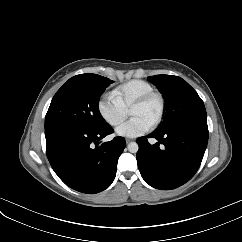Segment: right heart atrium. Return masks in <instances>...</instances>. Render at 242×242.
<instances>
[{
	"mask_svg": "<svg viewBox=\"0 0 242 242\" xmlns=\"http://www.w3.org/2000/svg\"><path fill=\"white\" fill-rule=\"evenodd\" d=\"M98 111L111 126L119 125L128 114L127 109L113 95H105L98 101Z\"/></svg>",
	"mask_w": 242,
	"mask_h": 242,
	"instance_id": "obj_1",
	"label": "right heart atrium"
}]
</instances>
